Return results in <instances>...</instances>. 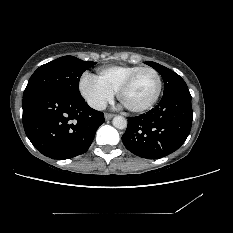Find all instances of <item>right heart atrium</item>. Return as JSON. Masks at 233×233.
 <instances>
[{
	"mask_svg": "<svg viewBox=\"0 0 233 233\" xmlns=\"http://www.w3.org/2000/svg\"><path fill=\"white\" fill-rule=\"evenodd\" d=\"M79 89L89 106L96 110L105 108L113 99V94L109 90L88 75L81 79Z\"/></svg>",
	"mask_w": 233,
	"mask_h": 233,
	"instance_id": "1",
	"label": "right heart atrium"
}]
</instances>
